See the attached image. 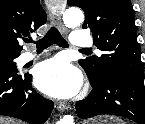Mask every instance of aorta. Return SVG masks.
Returning a JSON list of instances; mask_svg holds the SVG:
<instances>
[{
	"label": "aorta",
	"instance_id": "762f6f07",
	"mask_svg": "<svg viewBox=\"0 0 145 124\" xmlns=\"http://www.w3.org/2000/svg\"><path fill=\"white\" fill-rule=\"evenodd\" d=\"M84 20V15L79 9L70 8L63 14L64 24L69 28H75ZM58 124H75L74 118L71 115H66L60 119Z\"/></svg>",
	"mask_w": 145,
	"mask_h": 124
}]
</instances>
